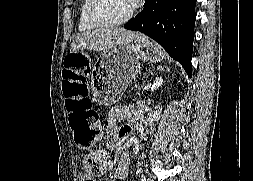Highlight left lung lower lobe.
Instances as JSON below:
<instances>
[{
  "label": "left lung lower lobe",
  "instance_id": "left-lung-lower-lobe-1",
  "mask_svg": "<svg viewBox=\"0 0 253 181\" xmlns=\"http://www.w3.org/2000/svg\"><path fill=\"white\" fill-rule=\"evenodd\" d=\"M195 4L196 0H146L124 28L154 39L192 77Z\"/></svg>",
  "mask_w": 253,
  "mask_h": 181
}]
</instances>
